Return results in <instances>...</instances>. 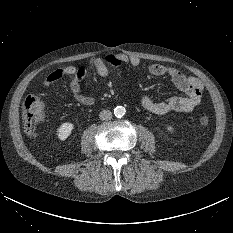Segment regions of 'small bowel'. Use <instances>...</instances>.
<instances>
[{
  "label": "small bowel",
  "instance_id": "obj_1",
  "mask_svg": "<svg viewBox=\"0 0 233 233\" xmlns=\"http://www.w3.org/2000/svg\"><path fill=\"white\" fill-rule=\"evenodd\" d=\"M141 63L137 56L125 55L122 53L108 54L104 58H93L90 66L101 77L109 75V68L130 65L137 67ZM148 72L153 76H167L171 79L178 90L185 93V96H175L164 101H154L148 95H143L140 99L141 106L153 114H165L169 112H191L201 102L203 83L182 71L166 65L150 64L147 67ZM85 67L67 66L63 69H57L48 74L43 85L49 87L55 81L64 76H72L70 81V89L75 100L83 106H91L96 99L93 96L82 93V81L86 76Z\"/></svg>",
  "mask_w": 233,
  "mask_h": 233
}]
</instances>
